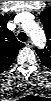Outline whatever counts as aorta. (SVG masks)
<instances>
[{
  "mask_svg": "<svg viewBox=\"0 0 51 101\" xmlns=\"http://www.w3.org/2000/svg\"><path fill=\"white\" fill-rule=\"evenodd\" d=\"M25 30L35 45L40 48L45 47L46 37L40 26H38L35 22H32L25 26Z\"/></svg>",
  "mask_w": 51,
  "mask_h": 101,
  "instance_id": "obj_1",
  "label": "aorta"
}]
</instances>
